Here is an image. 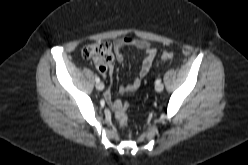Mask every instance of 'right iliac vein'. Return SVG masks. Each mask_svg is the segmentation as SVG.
<instances>
[{"mask_svg": "<svg viewBox=\"0 0 248 165\" xmlns=\"http://www.w3.org/2000/svg\"><path fill=\"white\" fill-rule=\"evenodd\" d=\"M96 89L102 91L104 89V84L102 82L96 83Z\"/></svg>", "mask_w": 248, "mask_h": 165, "instance_id": "63e3f726", "label": "right iliac vein"}]
</instances>
